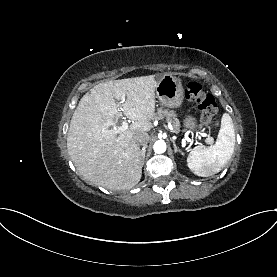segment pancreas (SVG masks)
<instances>
[{
	"mask_svg": "<svg viewBox=\"0 0 277 277\" xmlns=\"http://www.w3.org/2000/svg\"><path fill=\"white\" fill-rule=\"evenodd\" d=\"M157 117L163 118L165 117L167 121L172 122L173 126L176 127V121H175V113L172 110H167L163 108L157 109ZM176 131H179V127H176Z\"/></svg>",
	"mask_w": 277,
	"mask_h": 277,
	"instance_id": "pancreas-1",
	"label": "pancreas"
}]
</instances>
